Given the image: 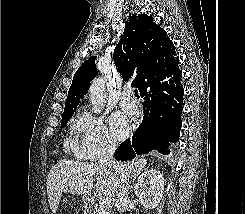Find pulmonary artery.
<instances>
[{"mask_svg": "<svg viewBox=\"0 0 245 214\" xmlns=\"http://www.w3.org/2000/svg\"><path fill=\"white\" fill-rule=\"evenodd\" d=\"M120 104L129 114H135L137 112V105L132 97V93L129 90L124 91L120 97Z\"/></svg>", "mask_w": 245, "mask_h": 214, "instance_id": "pulmonary-artery-1", "label": "pulmonary artery"}]
</instances>
